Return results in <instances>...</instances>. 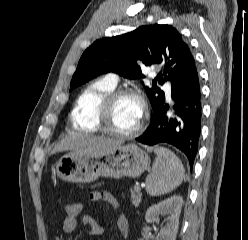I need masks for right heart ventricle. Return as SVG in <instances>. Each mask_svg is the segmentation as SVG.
Wrapping results in <instances>:
<instances>
[{"label": "right heart ventricle", "instance_id": "obj_1", "mask_svg": "<svg viewBox=\"0 0 248 240\" xmlns=\"http://www.w3.org/2000/svg\"><path fill=\"white\" fill-rule=\"evenodd\" d=\"M116 85L106 78L98 79L90 83L77 97L70 114L71 126L74 130L88 133L99 131L95 123V113L101 100Z\"/></svg>", "mask_w": 248, "mask_h": 240}]
</instances>
